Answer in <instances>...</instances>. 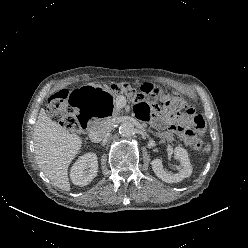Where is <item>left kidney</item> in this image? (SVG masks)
Instances as JSON below:
<instances>
[{"mask_svg":"<svg viewBox=\"0 0 248 248\" xmlns=\"http://www.w3.org/2000/svg\"><path fill=\"white\" fill-rule=\"evenodd\" d=\"M174 158L181 164V169L176 174L166 172L163 168L162 161L158 158L152 160L151 162L152 169L156 176L166 183L180 182L192 174V165L190 163L188 153L184 148L176 147L174 149Z\"/></svg>","mask_w":248,"mask_h":248,"instance_id":"1","label":"left kidney"}]
</instances>
